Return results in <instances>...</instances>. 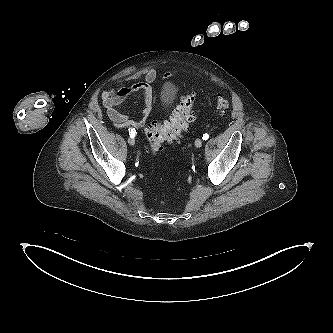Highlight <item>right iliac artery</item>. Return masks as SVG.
Listing matches in <instances>:
<instances>
[{"label": "right iliac artery", "mask_w": 333, "mask_h": 333, "mask_svg": "<svg viewBox=\"0 0 333 333\" xmlns=\"http://www.w3.org/2000/svg\"><path fill=\"white\" fill-rule=\"evenodd\" d=\"M135 134H136V131H135L134 129H133V130H132V129H131V130L129 129V135H130V137L133 138V137L135 136Z\"/></svg>", "instance_id": "82829eb1"}]
</instances>
